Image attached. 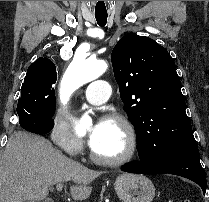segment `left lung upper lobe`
Masks as SVG:
<instances>
[{
    "label": "left lung upper lobe",
    "instance_id": "1",
    "mask_svg": "<svg viewBox=\"0 0 209 202\" xmlns=\"http://www.w3.org/2000/svg\"><path fill=\"white\" fill-rule=\"evenodd\" d=\"M111 61L138 152L160 158L194 138L175 62L163 46L149 37L126 35Z\"/></svg>",
    "mask_w": 209,
    "mask_h": 202
}]
</instances>
